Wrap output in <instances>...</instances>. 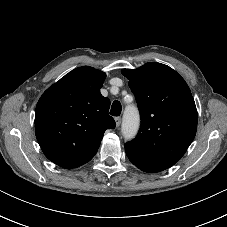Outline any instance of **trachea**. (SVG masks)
Returning a JSON list of instances; mask_svg holds the SVG:
<instances>
[{
    "label": "trachea",
    "mask_w": 227,
    "mask_h": 227,
    "mask_svg": "<svg viewBox=\"0 0 227 227\" xmlns=\"http://www.w3.org/2000/svg\"><path fill=\"white\" fill-rule=\"evenodd\" d=\"M121 103L119 101H114L110 110L112 116H119L121 114Z\"/></svg>",
    "instance_id": "obj_1"
}]
</instances>
